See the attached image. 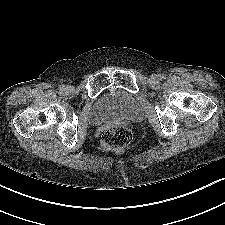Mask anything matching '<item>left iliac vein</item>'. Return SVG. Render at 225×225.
<instances>
[{"label":"left iliac vein","mask_w":225,"mask_h":225,"mask_svg":"<svg viewBox=\"0 0 225 225\" xmlns=\"http://www.w3.org/2000/svg\"><path fill=\"white\" fill-rule=\"evenodd\" d=\"M151 79L154 81H157L159 79V75L158 74H152Z\"/></svg>","instance_id":"obj_1"}]
</instances>
